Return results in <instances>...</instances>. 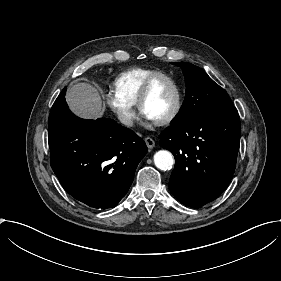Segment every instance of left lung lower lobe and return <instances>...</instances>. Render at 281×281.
Masks as SVG:
<instances>
[{"mask_svg":"<svg viewBox=\"0 0 281 281\" xmlns=\"http://www.w3.org/2000/svg\"><path fill=\"white\" fill-rule=\"evenodd\" d=\"M240 135L235 107L177 122L162 132L160 145L176 160L169 187L178 201L200 208L226 189L235 170Z\"/></svg>","mask_w":281,"mask_h":281,"instance_id":"obj_1","label":"left lung lower lobe"}]
</instances>
